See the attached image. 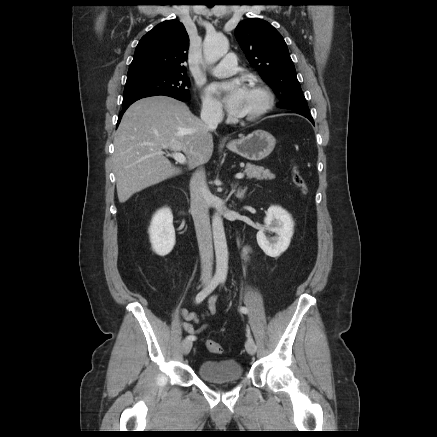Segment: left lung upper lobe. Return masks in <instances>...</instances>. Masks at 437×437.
Returning a JSON list of instances; mask_svg holds the SVG:
<instances>
[{"label": "left lung upper lobe", "instance_id": "obj_1", "mask_svg": "<svg viewBox=\"0 0 437 437\" xmlns=\"http://www.w3.org/2000/svg\"><path fill=\"white\" fill-rule=\"evenodd\" d=\"M235 37L249 63L279 97V107L310 114L281 34L267 21L250 18L238 24Z\"/></svg>", "mask_w": 437, "mask_h": 437}]
</instances>
